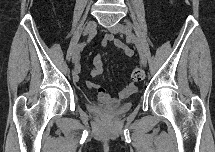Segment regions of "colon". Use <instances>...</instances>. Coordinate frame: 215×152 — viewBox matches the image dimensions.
Masks as SVG:
<instances>
[{
  "mask_svg": "<svg viewBox=\"0 0 215 152\" xmlns=\"http://www.w3.org/2000/svg\"><path fill=\"white\" fill-rule=\"evenodd\" d=\"M132 78L134 81L139 82L144 78V72L140 68H135L132 72Z\"/></svg>",
  "mask_w": 215,
  "mask_h": 152,
  "instance_id": "5ec220e1",
  "label": "colon"
}]
</instances>
